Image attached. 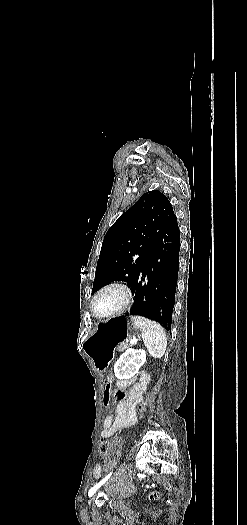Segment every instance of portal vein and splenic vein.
I'll return each mask as SVG.
<instances>
[{
    "instance_id": "obj_1",
    "label": "portal vein and splenic vein",
    "mask_w": 247,
    "mask_h": 525,
    "mask_svg": "<svg viewBox=\"0 0 247 525\" xmlns=\"http://www.w3.org/2000/svg\"><path fill=\"white\" fill-rule=\"evenodd\" d=\"M137 338H134V340H128V343H136Z\"/></svg>"
}]
</instances>
